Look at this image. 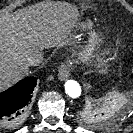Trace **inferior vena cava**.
Returning a JSON list of instances; mask_svg holds the SVG:
<instances>
[{"label":"inferior vena cava","mask_w":133,"mask_h":133,"mask_svg":"<svg viewBox=\"0 0 133 133\" xmlns=\"http://www.w3.org/2000/svg\"><path fill=\"white\" fill-rule=\"evenodd\" d=\"M44 61V54L42 51L33 54L27 59L29 66H36Z\"/></svg>","instance_id":"1"}]
</instances>
